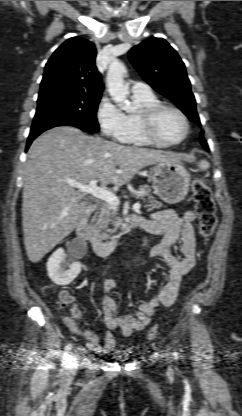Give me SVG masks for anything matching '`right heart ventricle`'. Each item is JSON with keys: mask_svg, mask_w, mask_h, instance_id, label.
<instances>
[{"mask_svg": "<svg viewBox=\"0 0 242 416\" xmlns=\"http://www.w3.org/2000/svg\"><path fill=\"white\" fill-rule=\"evenodd\" d=\"M133 97L142 109L160 103V100L152 92L148 94H133ZM127 124L128 129L122 140L123 142L137 146L157 145L144 135L139 120V113L127 115Z\"/></svg>", "mask_w": 242, "mask_h": 416, "instance_id": "obj_1", "label": "right heart ventricle"}]
</instances>
